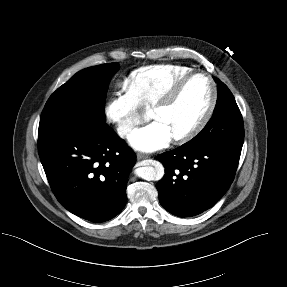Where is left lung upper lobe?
<instances>
[{"label":"left lung upper lobe","mask_w":287,"mask_h":287,"mask_svg":"<svg viewBox=\"0 0 287 287\" xmlns=\"http://www.w3.org/2000/svg\"><path fill=\"white\" fill-rule=\"evenodd\" d=\"M213 78L218 84L214 113L203 130L189 142L206 146L223 145L241 150L244 142L242 115L228 87L216 77Z\"/></svg>","instance_id":"1"}]
</instances>
